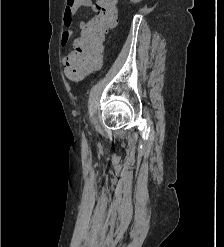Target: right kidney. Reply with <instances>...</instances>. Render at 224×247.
<instances>
[{
  "label": "right kidney",
  "mask_w": 224,
  "mask_h": 247,
  "mask_svg": "<svg viewBox=\"0 0 224 247\" xmlns=\"http://www.w3.org/2000/svg\"><path fill=\"white\" fill-rule=\"evenodd\" d=\"M130 2H133V4H138V2H141V0H130Z\"/></svg>",
  "instance_id": "obj_1"
}]
</instances>
